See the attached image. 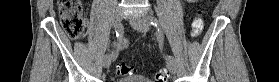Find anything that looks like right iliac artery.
Listing matches in <instances>:
<instances>
[{"instance_id": "82829eb1", "label": "right iliac artery", "mask_w": 279, "mask_h": 82, "mask_svg": "<svg viewBox=\"0 0 279 82\" xmlns=\"http://www.w3.org/2000/svg\"><path fill=\"white\" fill-rule=\"evenodd\" d=\"M114 26H115L114 39L118 40L122 35V26H121V24L114 25Z\"/></svg>"}]
</instances>
